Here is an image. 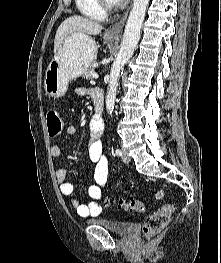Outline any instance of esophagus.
<instances>
[{
	"label": "esophagus",
	"mask_w": 221,
	"mask_h": 263,
	"mask_svg": "<svg viewBox=\"0 0 221 263\" xmlns=\"http://www.w3.org/2000/svg\"><path fill=\"white\" fill-rule=\"evenodd\" d=\"M128 12H129V8L127 9V11L123 14V16L120 18V20L111 28H109L106 31V36L110 37V38H118L120 36V33L124 27L125 21L127 19L128 16Z\"/></svg>",
	"instance_id": "obj_1"
}]
</instances>
